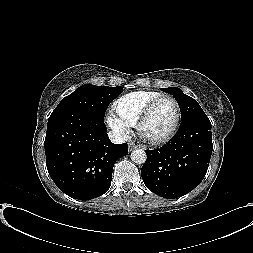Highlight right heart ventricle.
Segmentation results:
<instances>
[{"instance_id":"1","label":"right heart ventricle","mask_w":253,"mask_h":253,"mask_svg":"<svg viewBox=\"0 0 253 253\" xmlns=\"http://www.w3.org/2000/svg\"><path fill=\"white\" fill-rule=\"evenodd\" d=\"M163 95L155 91H135L120 97L114 105V109L129 127H134L137 121L147 107L155 98Z\"/></svg>"}]
</instances>
